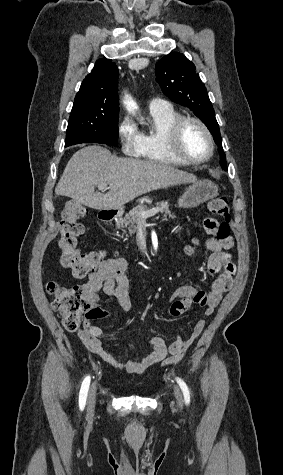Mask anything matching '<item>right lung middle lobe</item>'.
<instances>
[{
	"mask_svg": "<svg viewBox=\"0 0 283 475\" xmlns=\"http://www.w3.org/2000/svg\"><path fill=\"white\" fill-rule=\"evenodd\" d=\"M118 105L74 102L65 147L79 143L117 145Z\"/></svg>",
	"mask_w": 283,
	"mask_h": 475,
	"instance_id": "right-lung-middle-lobe-1",
	"label": "right lung middle lobe"
}]
</instances>
